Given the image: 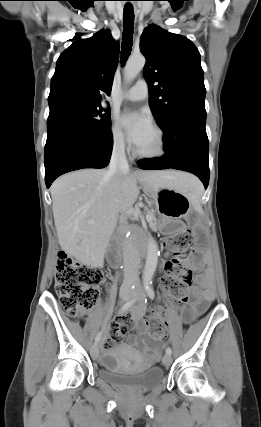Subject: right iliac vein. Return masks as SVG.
I'll use <instances>...</instances> for the list:
<instances>
[{
  "mask_svg": "<svg viewBox=\"0 0 261 427\" xmlns=\"http://www.w3.org/2000/svg\"><path fill=\"white\" fill-rule=\"evenodd\" d=\"M130 295H131V293L129 291L125 290V291H122L120 293V298H121L122 301H126V300H128L130 298ZM90 354H91V357L94 360H96L98 358V356H99V348H98L97 343L93 344V346L91 347Z\"/></svg>",
  "mask_w": 261,
  "mask_h": 427,
  "instance_id": "obj_1",
  "label": "right iliac vein"
}]
</instances>
